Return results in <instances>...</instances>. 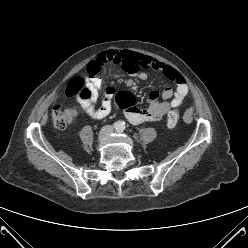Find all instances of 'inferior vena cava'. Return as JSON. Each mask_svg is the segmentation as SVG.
I'll list each match as a JSON object with an SVG mask.
<instances>
[{
	"label": "inferior vena cava",
	"instance_id": "obj_1",
	"mask_svg": "<svg viewBox=\"0 0 248 248\" xmlns=\"http://www.w3.org/2000/svg\"><path fill=\"white\" fill-rule=\"evenodd\" d=\"M108 129H110V130H111V126H108Z\"/></svg>",
	"mask_w": 248,
	"mask_h": 248
}]
</instances>
